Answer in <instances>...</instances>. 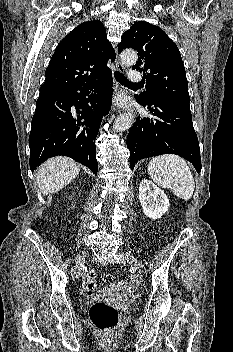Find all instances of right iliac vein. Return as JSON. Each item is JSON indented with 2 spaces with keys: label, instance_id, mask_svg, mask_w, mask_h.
Segmentation results:
<instances>
[{
  "label": "right iliac vein",
  "instance_id": "63e3f726",
  "mask_svg": "<svg viewBox=\"0 0 233 352\" xmlns=\"http://www.w3.org/2000/svg\"><path fill=\"white\" fill-rule=\"evenodd\" d=\"M87 253L85 251L80 252L76 258V264H77V271H76V276H80L81 275V267L85 262Z\"/></svg>",
  "mask_w": 233,
  "mask_h": 352
}]
</instances>
